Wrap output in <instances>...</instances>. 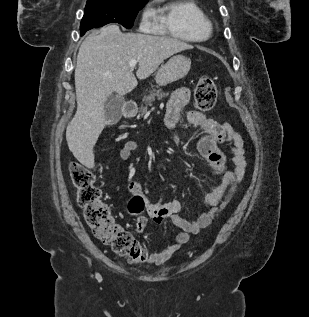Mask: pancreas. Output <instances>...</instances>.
I'll use <instances>...</instances> for the list:
<instances>
[{"instance_id": "1", "label": "pancreas", "mask_w": 309, "mask_h": 317, "mask_svg": "<svg viewBox=\"0 0 309 317\" xmlns=\"http://www.w3.org/2000/svg\"><path fill=\"white\" fill-rule=\"evenodd\" d=\"M166 96H168V93L163 92L162 89L153 90L150 92V95L146 98V105L150 106L152 102L155 100V98L161 99ZM146 111L147 107H141V113H145Z\"/></svg>"}]
</instances>
